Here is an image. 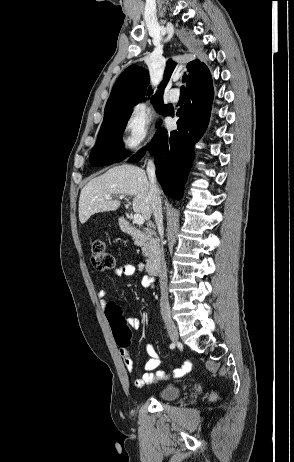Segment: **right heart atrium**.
<instances>
[{
	"mask_svg": "<svg viewBox=\"0 0 294 462\" xmlns=\"http://www.w3.org/2000/svg\"><path fill=\"white\" fill-rule=\"evenodd\" d=\"M153 114L144 106L134 107L123 124L122 145L129 156L148 149L153 136Z\"/></svg>",
	"mask_w": 294,
	"mask_h": 462,
	"instance_id": "obj_1",
	"label": "right heart atrium"
}]
</instances>
